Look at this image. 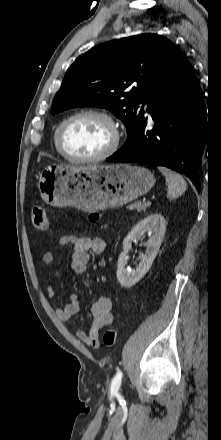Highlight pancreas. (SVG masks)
<instances>
[{
  "label": "pancreas",
  "instance_id": "cf45deb5",
  "mask_svg": "<svg viewBox=\"0 0 221 440\" xmlns=\"http://www.w3.org/2000/svg\"><path fill=\"white\" fill-rule=\"evenodd\" d=\"M148 207H150V205H147L146 203L134 202V203L128 205L127 209H129V210L136 209L138 212H141V211H146V209Z\"/></svg>",
  "mask_w": 221,
  "mask_h": 440
}]
</instances>
